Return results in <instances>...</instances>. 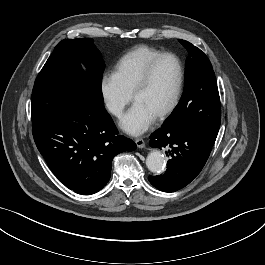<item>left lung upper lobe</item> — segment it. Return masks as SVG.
Here are the masks:
<instances>
[{
	"mask_svg": "<svg viewBox=\"0 0 265 265\" xmlns=\"http://www.w3.org/2000/svg\"><path fill=\"white\" fill-rule=\"evenodd\" d=\"M179 42L189 54L184 92L162 128H190L214 143L221 123V105L212 65L199 48L185 40L179 39Z\"/></svg>",
	"mask_w": 265,
	"mask_h": 265,
	"instance_id": "obj_1",
	"label": "left lung upper lobe"
}]
</instances>
